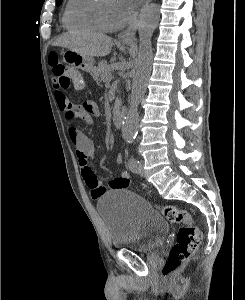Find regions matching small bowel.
Returning <instances> with one entry per match:
<instances>
[{
	"instance_id": "obj_1",
	"label": "small bowel",
	"mask_w": 245,
	"mask_h": 300,
	"mask_svg": "<svg viewBox=\"0 0 245 300\" xmlns=\"http://www.w3.org/2000/svg\"><path fill=\"white\" fill-rule=\"evenodd\" d=\"M53 88L57 106L64 112L67 120L77 117L84 125L89 126L93 123V119L99 116V109L92 101H86L79 106L72 104L64 94V88L60 86L55 77L53 78ZM68 137L75 146V154L81 168L82 177L93 199H99L109 190H123L130 186V175L126 171H122L118 176L112 178L107 185H103L90 166L95 154L93 141L76 125L68 127ZM115 161L117 164H121L123 161L122 155L117 154Z\"/></svg>"
}]
</instances>
